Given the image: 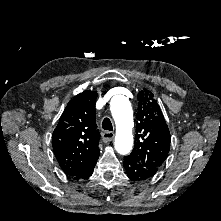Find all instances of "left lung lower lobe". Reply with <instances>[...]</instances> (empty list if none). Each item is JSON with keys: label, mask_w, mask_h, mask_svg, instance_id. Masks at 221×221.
<instances>
[{"label": "left lung lower lobe", "mask_w": 221, "mask_h": 221, "mask_svg": "<svg viewBox=\"0 0 221 221\" xmlns=\"http://www.w3.org/2000/svg\"><path fill=\"white\" fill-rule=\"evenodd\" d=\"M124 168L127 176L133 181H146L155 175L151 170L143 167L130 156L124 158Z\"/></svg>", "instance_id": "0a47b994"}]
</instances>
